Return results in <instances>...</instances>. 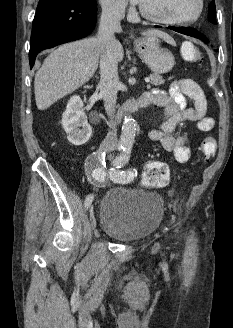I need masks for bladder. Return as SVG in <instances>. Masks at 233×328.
Listing matches in <instances>:
<instances>
[{
  "label": "bladder",
  "mask_w": 233,
  "mask_h": 328,
  "mask_svg": "<svg viewBox=\"0 0 233 328\" xmlns=\"http://www.w3.org/2000/svg\"><path fill=\"white\" fill-rule=\"evenodd\" d=\"M163 216L161 198L151 192L113 188L98 208L101 231L122 241L135 242L152 233Z\"/></svg>",
  "instance_id": "31cf9c89"
}]
</instances>
